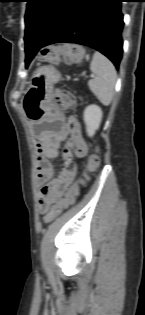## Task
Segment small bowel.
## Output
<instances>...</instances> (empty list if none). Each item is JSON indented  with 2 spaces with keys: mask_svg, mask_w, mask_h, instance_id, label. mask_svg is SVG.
I'll return each mask as SVG.
<instances>
[{
  "mask_svg": "<svg viewBox=\"0 0 145 315\" xmlns=\"http://www.w3.org/2000/svg\"><path fill=\"white\" fill-rule=\"evenodd\" d=\"M70 134L67 142V147L62 151V169L57 177H52L53 166L50 162L51 159L57 158L59 154V144L66 139ZM34 147H37L36 154V179L42 185L40 190V209L45 213V221L51 220L50 211L54 203L70 188L76 189L78 187L73 185L77 176V166L69 170L72 152L78 158H83L88 152V147L83 140L74 118L67 119L64 127L57 132L47 131L41 140H34Z\"/></svg>",
  "mask_w": 145,
  "mask_h": 315,
  "instance_id": "1",
  "label": "small bowel"
}]
</instances>
